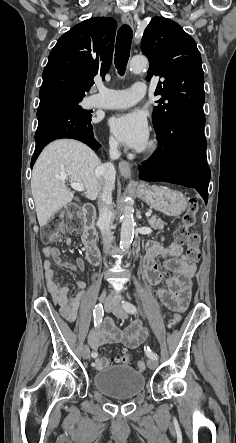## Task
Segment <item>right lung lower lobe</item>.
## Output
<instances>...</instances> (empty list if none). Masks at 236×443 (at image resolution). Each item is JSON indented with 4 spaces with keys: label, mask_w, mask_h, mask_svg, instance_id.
Returning a JSON list of instances; mask_svg holds the SVG:
<instances>
[{
    "label": "right lung lower lobe",
    "mask_w": 236,
    "mask_h": 443,
    "mask_svg": "<svg viewBox=\"0 0 236 443\" xmlns=\"http://www.w3.org/2000/svg\"><path fill=\"white\" fill-rule=\"evenodd\" d=\"M37 118L36 147L31 160V167H33L42 149L49 142L56 139H76L84 142L93 150H98L101 147L93 135L91 115H81L70 103L63 99L56 96L40 98Z\"/></svg>",
    "instance_id": "1"
}]
</instances>
